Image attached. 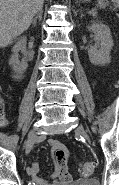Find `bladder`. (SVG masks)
Masks as SVG:
<instances>
[{
  "mask_svg": "<svg viewBox=\"0 0 119 185\" xmlns=\"http://www.w3.org/2000/svg\"><path fill=\"white\" fill-rule=\"evenodd\" d=\"M69 185H99V182L96 179H84L75 181Z\"/></svg>",
  "mask_w": 119,
  "mask_h": 185,
  "instance_id": "1",
  "label": "bladder"
}]
</instances>
